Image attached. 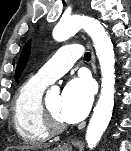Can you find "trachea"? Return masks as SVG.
<instances>
[{
	"label": "trachea",
	"mask_w": 131,
	"mask_h": 151,
	"mask_svg": "<svg viewBox=\"0 0 131 151\" xmlns=\"http://www.w3.org/2000/svg\"><path fill=\"white\" fill-rule=\"evenodd\" d=\"M84 59L86 61H90L91 60V53L90 52H86L85 55H84Z\"/></svg>",
	"instance_id": "trachea-1"
}]
</instances>
